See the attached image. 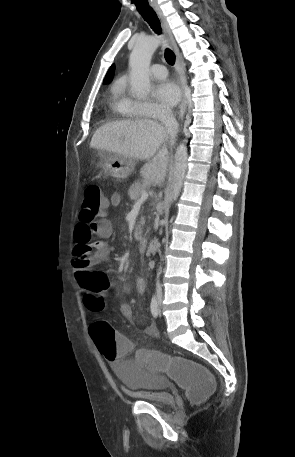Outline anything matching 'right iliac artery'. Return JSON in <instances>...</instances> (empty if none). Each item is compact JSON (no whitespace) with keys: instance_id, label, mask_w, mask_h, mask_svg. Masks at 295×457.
Returning <instances> with one entry per match:
<instances>
[{"instance_id":"right-iliac-artery-1","label":"right iliac artery","mask_w":295,"mask_h":457,"mask_svg":"<svg viewBox=\"0 0 295 457\" xmlns=\"http://www.w3.org/2000/svg\"><path fill=\"white\" fill-rule=\"evenodd\" d=\"M150 308H151V313L152 315L157 318L158 314H159V308H158V302H157V299L155 297L152 298L151 300V305H150Z\"/></svg>"}]
</instances>
